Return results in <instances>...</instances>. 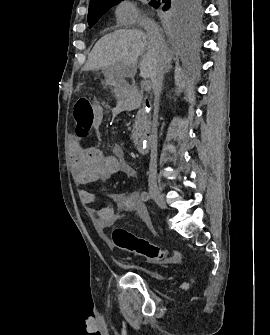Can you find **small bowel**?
<instances>
[{"label":"small bowel","instance_id":"c3829d8e","mask_svg":"<svg viewBox=\"0 0 270 335\" xmlns=\"http://www.w3.org/2000/svg\"><path fill=\"white\" fill-rule=\"evenodd\" d=\"M103 121L104 112L101 107L97 106L94 110V126L98 139ZM70 170L74 182L78 185L106 180L118 173L133 179L138 176L135 168L127 162L121 147L116 146L111 154H105L98 142L86 148L74 144L71 149ZM77 192L79 199L91 216L96 230L102 236H105L106 230L114 225L115 207L134 212L138 219L145 224L150 222L147 208L137 191L131 195L106 193L103 196H98L84 188H79ZM98 202L101 203V206L95 208L94 204Z\"/></svg>","mask_w":270,"mask_h":335}]
</instances>
